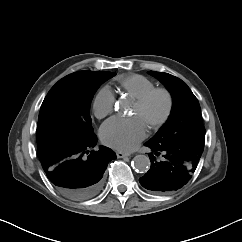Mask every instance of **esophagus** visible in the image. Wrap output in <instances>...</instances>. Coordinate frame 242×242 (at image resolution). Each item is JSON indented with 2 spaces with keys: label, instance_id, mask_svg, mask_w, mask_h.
<instances>
[{
  "label": "esophagus",
  "instance_id": "obj_1",
  "mask_svg": "<svg viewBox=\"0 0 242 242\" xmlns=\"http://www.w3.org/2000/svg\"><path fill=\"white\" fill-rule=\"evenodd\" d=\"M116 155L118 158H125L130 156L128 153H123V152H116Z\"/></svg>",
  "mask_w": 242,
  "mask_h": 242
}]
</instances>
